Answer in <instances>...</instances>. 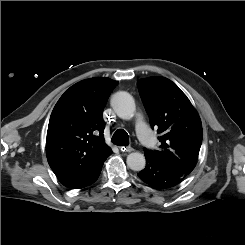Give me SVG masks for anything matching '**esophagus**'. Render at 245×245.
I'll return each mask as SVG.
<instances>
[{
    "label": "esophagus",
    "mask_w": 245,
    "mask_h": 245,
    "mask_svg": "<svg viewBox=\"0 0 245 245\" xmlns=\"http://www.w3.org/2000/svg\"><path fill=\"white\" fill-rule=\"evenodd\" d=\"M119 149H120L122 152H131V151H133V148L130 147V146H121V147H119Z\"/></svg>",
    "instance_id": "34e87169"
}]
</instances>
